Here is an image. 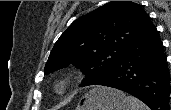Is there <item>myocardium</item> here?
I'll list each match as a JSON object with an SVG mask.
<instances>
[{
    "label": "myocardium",
    "mask_w": 171,
    "mask_h": 110,
    "mask_svg": "<svg viewBox=\"0 0 171 110\" xmlns=\"http://www.w3.org/2000/svg\"><path fill=\"white\" fill-rule=\"evenodd\" d=\"M78 80V76L74 72L63 74L56 78L53 82L52 89L57 95L65 94Z\"/></svg>",
    "instance_id": "1"
}]
</instances>
